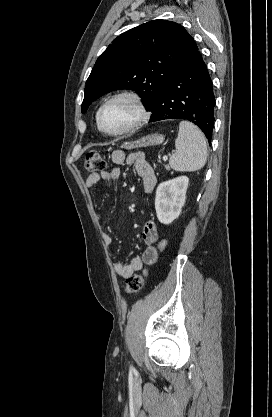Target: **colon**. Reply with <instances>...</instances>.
Segmentation results:
<instances>
[{"label": "colon", "mask_w": 272, "mask_h": 417, "mask_svg": "<svg viewBox=\"0 0 272 417\" xmlns=\"http://www.w3.org/2000/svg\"><path fill=\"white\" fill-rule=\"evenodd\" d=\"M85 169L89 172L105 171L108 167L107 161L97 152L89 151L84 161ZM167 247V240L162 239L154 245V249L160 253L163 252ZM148 274L147 268H144L142 273L133 274L126 279L124 291L127 294H134L139 292L145 282V278Z\"/></svg>", "instance_id": "1"}]
</instances>
